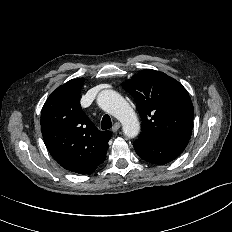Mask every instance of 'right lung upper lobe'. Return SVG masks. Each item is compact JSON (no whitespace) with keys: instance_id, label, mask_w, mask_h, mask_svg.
I'll list each match as a JSON object with an SVG mask.
<instances>
[{"instance_id":"obj_1","label":"right lung upper lobe","mask_w":232,"mask_h":232,"mask_svg":"<svg viewBox=\"0 0 232 232\" xmlns=\"http://www.w3.org/2000/svg\"><path fill=\"white\" fill-rule=\"evenodd\" d=\"M83 78L59 86L46 100L41 131L53 158L66 170L93 172L106 158L110 131H99L83 112L80 90Z\"/></svg>"}]
</instances>
